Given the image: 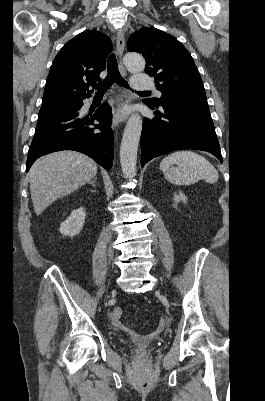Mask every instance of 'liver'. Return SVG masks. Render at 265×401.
Returning a JSON list of instances; mask_svg holds the SVG:
<instances>
[{"label":"liver","mask_w":265,"mask_h":401,"mask_svg":"<svg viewBox=\"0 0 265 401\" xmlns=\"http://www.w3.org/2000/svg\"><path fill=\"white\" fill-rule=\"evenodd\" d=\"M33 209L38 217L51 203L67 196L97 174V164L75 150H61L38 158L30 168Z\"/></svg>","instance_id":"liver-1"}]
</instances>
